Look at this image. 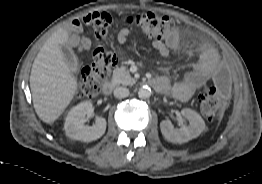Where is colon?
Listing matches in <instances>:
<instances>
[{"label": "colon", "mask_w": 262, "mask_h": 184, "mask_svg": "<svg viewBox=\"0 0 262 184\" xmlns=\"http://www.w3.org/2000/svg\"><path fill=\"white\" fill-rule=\"evenodd\" d=\"M82 21L92 27L97 47L93 52V61L83 68L81 81L77 89L80 98L96 96L103 82L109 77L111 68L117 62V56L104 49L100 42L107 36L112 24V16L106 12H91L83 16ZM130 26L139 28L148 37L163 40L175 33V22L168 16L154 12H144L128 16L125 19ZM230 74L226 67L219 70L212 85L202 89L199 94V108L207 119L220 115L223 100L230 91Z\"/></svg>", "instance_id": "obj_1"}]
</instances>
